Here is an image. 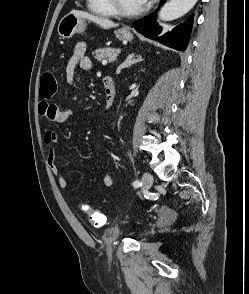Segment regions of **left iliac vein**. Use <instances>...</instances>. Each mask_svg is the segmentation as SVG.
<instances>
[{"label":"left iliac vein","mask_w":249,"mask_h":294,"mask_svg":"<svg viewBox=\"0 0 249 294\" xmlns=\"http://www.w3.org/2000/svg\"><path fill=\"white\" fill-rule=\"evenodd\" d=\"M143 192L148 191L153 184V176L149 172H145L142 176Z\"/></svg>","instance_id":"left-iliac-vein-1"}]
</instances>
